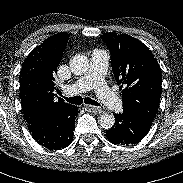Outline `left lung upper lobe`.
Wrapping results in <instances>:
<instances>
[{"label":"left lung upper lobe","instance_id":"1","mask_svg":"<svg viewBox=\"0 0 183 183\" xmlns=\"http://www.w3.org/2000/svg\"><path fill=\"white\" fill-rule=\"evenodd\" d=\"M111 52V65L122 90L123 109L153 121L161 95V69L149 48L127 35L105 33L101 36Z\"/></svg>","mask_w":183,"mask_h":183}]
</instances>
